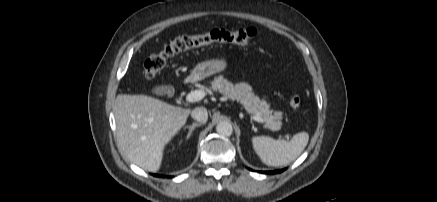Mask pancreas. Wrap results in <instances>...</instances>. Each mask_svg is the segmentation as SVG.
I'll return each instance as SVG.
<instances>
[{"mask_svg":"<svg viewBox=\"0 0 437 202\" xmlns=\"http://www.w3.org/2000/svg\"><path fill=\"white\" fill-rule=\"evenodd\" d=\"M211 89L232 100H237L245 107L248 113L262 117L266 128L272 131L280 129L282 112L271 110L270 105L265 100H260L247 83L234 85L220 75L211 82Z\"/></svg>","mask_w":437,"mask_h":202,"instance_id":"obj_1","label":"pancreas"}]
</instances>
